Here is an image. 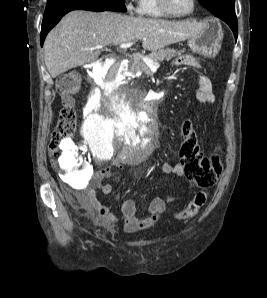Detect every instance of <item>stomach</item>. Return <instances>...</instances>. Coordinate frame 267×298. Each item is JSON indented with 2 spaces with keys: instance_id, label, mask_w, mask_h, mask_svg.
I'll list each match as a JSON object with an SVG mask.
<instances>
[{
  "instance_id": "obj_1",
  "label": "stomach",
  "mask_w": 267,
  "mask_h": 298,
  "mask_svg": "<svg viewBox=\"0 0 267 298\" xmlns=\"http://www.w3.org/2000/svg\"><path fill=\"white\" fill-rule=\"evenodd\" d=\"M222 39L221 25L210 20L198 35L188 39V46L197 54L214 58L221 49Z\"/></svg>"
}]
</instances>
